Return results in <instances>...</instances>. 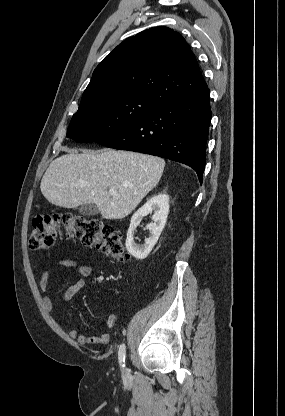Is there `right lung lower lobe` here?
<instances>
[{
  "instance_id": "obj_1",
  "label": "right lung lower lobe",
  "mask_w": 285,
  "mask_h": 416,
  "mask_svg": "<svg viewBox=\"0 0 285 416\" xmlns=\"http://www.w3.org/2000/svg\"><path fill=\"white\" fill-rule=\"evenodd\" d=\"M210 121V92L206 87L157 107L97 143L184 163L196 171L202 183Z\"/></svg>"
}]
</instances>
